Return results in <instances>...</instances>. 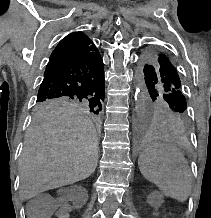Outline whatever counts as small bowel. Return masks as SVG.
<instances>
[{
  "label": "small bowel",
  "instance_id": "c3829d8e",
  "mask_svg": "<svg viewBox=\"0 0 211 218\" xmlns=\"http://www.w3.org/2000/svg\"><path fill=\"white\" fill-rule=\"evenodd\" d=\"M55 216L57 218H68L69 214L65 208H60L56 211Z\"/></svg>",
  "mask_w": 211,
  "mask_h": 218
}]
</instances>
